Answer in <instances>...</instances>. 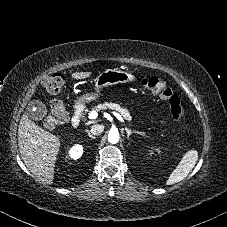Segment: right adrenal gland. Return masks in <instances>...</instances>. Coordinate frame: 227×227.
Here are the masks:
<instances>
[{
  "label": "right adrenal gland",
  "instance_id": "right-adrenal-gland-1",
  "mask_svg": "<svg viewBox=\"0 0 227 227\" xmlns=\"http://www.w3.org/2000/svg\"><path fill=\"white\" fill-rule=\"evenodd\" d=\"M86 132H87L88 136H89L91 139H95V138H96V137L93 136L88 130H86Z\"/></svg>",
  "mask_w": 227,
  "mask_h": 227
}]
</instances>
